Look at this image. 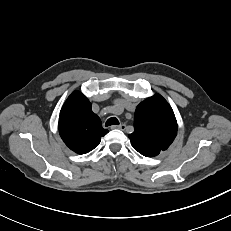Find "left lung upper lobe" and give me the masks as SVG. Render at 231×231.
Here are the masks:
<instances>
[{"label": "left lung upper lobe", "mask_w": 231, "mask_h": 231, "mask_svg": "<svg viewBox=\"0 0 231 231\" xmlns=\"http://www.w3.org/2000/svg\"><path fill=\"white\" fill-rule=\"evenodd\" d=\"M177 135L174 112L160 95L141 102L135 111L134 132L129 135L135 150L146 157L166 150Z\"/></svg>", "instance_id": "5c2ea615"}]
</instances>
